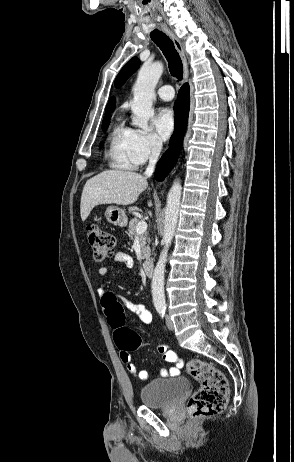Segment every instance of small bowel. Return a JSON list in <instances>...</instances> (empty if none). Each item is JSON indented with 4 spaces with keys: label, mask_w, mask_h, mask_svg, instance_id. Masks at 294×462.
<instances>
[{
    "label": "small bowel",
    "mask_w": 294,
    "mask_h": 462,
    "mask_svg": "<svg viewBox=\"0 0 294 462\" xmlns=\"http://www.w3.org/2000/svg\"><path fill=\"white\" fill-rule=\"evenodd\" d=\"M114 260L118 262H122L125 264L126 267L132 268L134 267V260L131 256L119 252L114 256ZM98 272L102 276L108 275V269L104 266L99 267ZM105 293L104 289H99L98 294L99 296H103ZM125 306L132 311L133 313L136 314L138 320L142 324H150L152 322V314L151 312L147 309V307L144 304L140 303H134L129 300L124 301ZM158 352L162 355L163 359L167 362L173 363L174 365L169 369H163L161 370L160 374L162 376H177L180 374L184 363L183 361L178 357V355L170 350L166 344H160L157 347ZM121 360L126 364V368L128 372L132 375L138 376L140 379L145 380L147 379L148 375L147 372L145 371H139L137 366L131 361V356L129 352H123L121 351L120 353Z\"/></svg>",
    "instance_id": "small-bowel-1"
}]
</instances>
